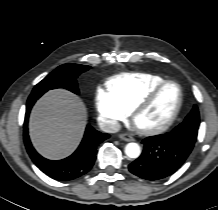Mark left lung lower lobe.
Wrapping results in <instances>:
<instances>
[{"label":"left lung lower lobe","mask_w":218,"mask_h":210,"mask_svg":"<svg viewBox=\"0 0 218 210\" xmlns=\"http://www.w3.org/2000/svg\"><path fill=\"white\" fill-rule=\"evenodd\" d=\"M185 128L143 140L141 156L129 165V171L146 180H159L176 172L192 151L194 141Z\"/></svg>","instance_id":"1"}]
</instances>
